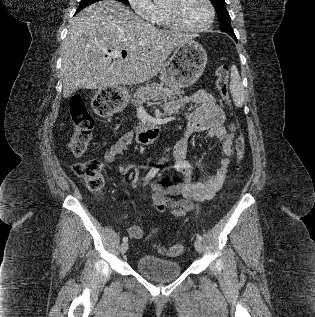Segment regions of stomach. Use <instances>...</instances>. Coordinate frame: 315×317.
Segmentation results:
<instances>
[{
    "instance_id": "obj_1",
    "label": "stomach",
    "mask_w": 315,
    "mask_h": 317,
    "mask_svg": "<svg viewBox=\"0 0 315 317\" xmlns=\"http://www.w3.org/2000/svg\"><path fill=\"white\" fill-rule=\"evenodd\" d=\"M207 64V53L199 43L190 40L176 47L171 58L160 71L161 81L169 87H189L202 75ZM102 95H123V88H102ZM109 111L124 113L127 104H133V97H108Z\"/></svg>"
}]
</instances>
